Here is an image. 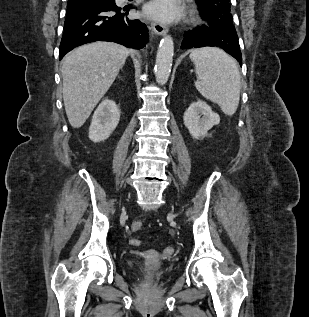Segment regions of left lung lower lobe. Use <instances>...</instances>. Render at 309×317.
<instances>
[{"mask_svg": "<svg viewBox=\"0 0 309 317\" xmlns=\"http://www.w3.org/2000/svg\"><path fill=\"white\" fill-rule=\"evenodd\" d=\"M205 46H214L225 50L242 65V55L236 30L218 28L210 21L209 26L197 27L184 34L182 49Z\"/></svg>", "mask_w": 309, "mask_h": 317, "instance_id": "0a47b994", "label": "left lung lower lobe"}]
</instances>
